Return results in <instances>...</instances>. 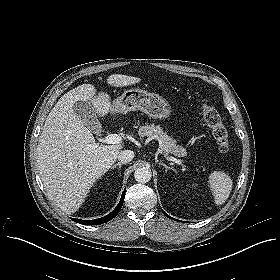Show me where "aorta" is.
Wrapping results in <instances>:
<instances>
[{"instance_id": "762f6f07", "label": "aorta", "mask_w": 280, "mask_h": 280, "mask_svg": "<svg viewBox=\"0 0 280 280\" xmlns=\"http://www.w3.org/2000/svg\"><path fill=\"white\" fill-rule=\"evenodd\" d=\"M152 177L151 170L149 168L143 167L135 170L134 178L139 183H147Z\"/></svg>"}]
</instances>
